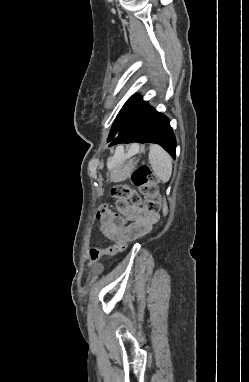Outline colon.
Segmentation results:
<instances>
[{
    "mask_svg": "<svg viewBox=\"0 0 249 382\" xmlns=\"http://www.w3.org/2000/svg\"><path fill=\"white\" fill-rule=\"evenodd\" d=\"M134 186L139 188L143 201L135 190L129 185H117L111 190V194L115 199V211L109 207L102 205L97 217L110 222L115 228L124 225L125 220L122 213L130 205H143V208L153 214H158L163 210V202L157 186L156 176L148 166L138 167L131 176ZM128 240L120 239L114 245L105 248H91L89 251L90 260L95 262L102 257L115 256L122 253L127 247Z\"/></svg>",
    "mask_w": 249,
    "mask_h": 382,
    "instance_id": "1",
    "label": "colon"
}]
</instances>
